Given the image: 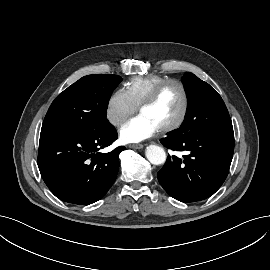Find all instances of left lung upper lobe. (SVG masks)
I'll return each mask as SVG.
<instances>
[{
	"label": "left lung upper lobe",
	"mask_w": 270,
	"mask_h": 270,
	"mask_svg": "<svg viewBox=\"0 0 270 270\" xmlns=\"http://www.w3.org/2000/svg\"><path fill=\"white\" fill-rule=\"evenodd\" d=\"M189 94L185 120L175 134L182 137L187 132H233L232 122L220 95L208 83L192 73L182 78Z\"/></svg>",
	"instance_id": "1"
}]
</instances>
